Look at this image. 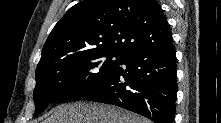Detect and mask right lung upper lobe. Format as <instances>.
<instances>
[{
  "label": "right lung upper lobe",
  "instance_id": "obj_1",
  "mask_svg": "<svg viewBox=\"0 0 221 123\" xmlns=\"http://www.w3.org/2000/svg\"><path fill=\"white\" fill-rule=\"evenodd\" d=\"M155 0H84L71 7L49 34L38 66L93 50L127 54L171 36Z\"/></svg>",
  "mask_w": 221,
  "mask_h": 123
}]
</instances>
